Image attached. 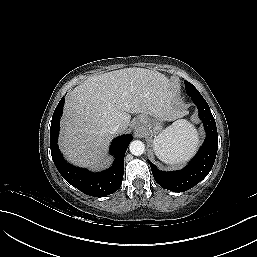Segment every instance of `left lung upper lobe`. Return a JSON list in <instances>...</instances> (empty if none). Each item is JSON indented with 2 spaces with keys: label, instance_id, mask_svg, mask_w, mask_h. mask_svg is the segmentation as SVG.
Returning <instances> with one entry per match:
<instances>
[{
  "label": "left lung upper lobe",
  "instance_id": "1",
  "mask_svg": "<svg viewBox=\"0 0 257 257\" xmlns=\"http://www.w3.org/2000/svg\"><path fill=\"white\" fill-rule=\"evenodd\" d=\"M185 83V88L187 90V94L192 97V96H196V97H202L201 94L199 93V91L188 81H184Z\"/></svg>",
  "mask_w": 257,
  "mask_h": 257
}]
</instances>
